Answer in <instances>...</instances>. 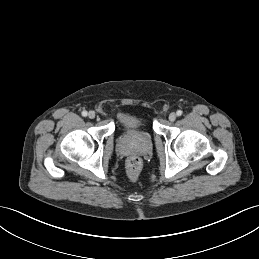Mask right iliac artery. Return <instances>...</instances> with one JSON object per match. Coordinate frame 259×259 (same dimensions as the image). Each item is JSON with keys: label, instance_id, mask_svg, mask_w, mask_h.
<instances>
[{"label": "right iliac artery", "instance_id": "1", "mask_svg": "<svg viewBox=\"0 0 259 259\" xmlns=\"http://www.w3.org/2000/svg\"><path fill=\"white\" fill-rule=\"evenodd\" d=\"M87 114H88L87 111H83V112H82V116H84V117H86Z\"/></svg>", "mask_w": 259, "mask_h": 259}]
</instances>
